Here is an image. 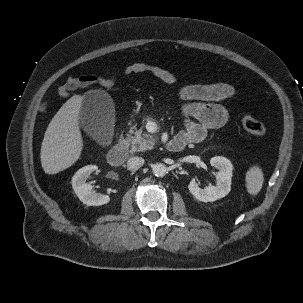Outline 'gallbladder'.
<instances>
[{"mask_svg": "<svg viewBox=\"0 0 303 303\" xmlns=\"http://www.w3.org/2000/svg\"><path fill=\"white\" fill-rule=\"evenodd\" d=\"M114 123V104L104 90H92L82 97L80 124L98 143H105Z\"/></svg>", "mask_w": 303, "mask_h": 303, "instance_id": "1", "label": "gallbladder"}]
</instances>
